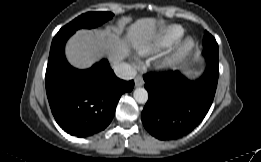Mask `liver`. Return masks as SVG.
I'll list each match as a JSON object with an SVG mask.
<instances>
[{
  "mask_svg": "<svg viewBox=\"0 0 261 162\" xmlns=\"http://www.w3.org/2000/svg\"><path fill=\"white\" fill-rule=\"evenodd\" d=\"M156 23L154 18L138 19L127 28L124 37L117 28L79 30L66 45L67 60L79 69L90 67L104 55L113 66L119 64L128 57L131 47L140 48L151 42L156 33Z\"/></svg>",
  "mask_w": 261,
  "mask_h": 162,
  "instance_id": "6515ba94",
  "label": "liver"
}]
</instances>
